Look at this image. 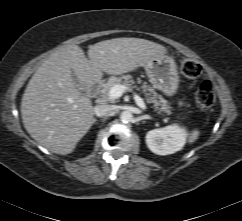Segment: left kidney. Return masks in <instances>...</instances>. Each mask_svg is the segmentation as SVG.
I'll return each instance as SVG.
<instances>
[{"label":"left kidney","instance_id":"obj_1","mask_svg":"<svg viewBox=\"0 0 242 221\" xmlns=\"http://www.w3.org/2000/svg\"><path fill=\"white\" fill-rule=\"evenodd\" d=\"M185 128L173 124L153 129L146 134V144L155 154L168 155L181 150L186 141Z\"/></svg>","mask_w":242,"mask_h":221}]
</instances>
